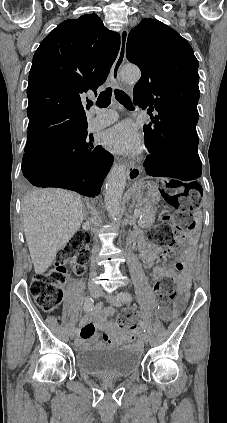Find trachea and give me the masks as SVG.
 <instances>
[{
	"mask_svg": "<svg viewBox=\"0 0 227 423\" xmlns=\"http://www.w3.org/2000/svg\"><path fill=\"white\" fill-rule=\"evenodd\" d=\"M112 93H113L112 88H107L105 91L101 92L99 97L97 98L96 106H98L99 108L108 107L111 103ZM114 95H115L116 100H118L119 103L124 105V107H126L128 110H134V106L132 104V101H131L130 97H128V95L125 92H123L120 89H115ZM88 105L92 106L93 102H91V101L88 102Z\"/></svg>",
	"mask_w": 227,
	"mask_h": 423,
	"instance_id": "obj_1",
	"label": "trachea"
}]
</instances>
